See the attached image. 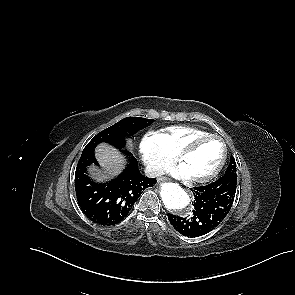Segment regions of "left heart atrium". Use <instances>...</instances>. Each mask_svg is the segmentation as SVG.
<instances>
[{"label": "left heart atrium", "instance_id": "obj_1", "mask_svg": "<svg viewBox=\"0 0 295 295\" xmlns=\"http://www.w3.org/2000/svg\"><path fill=\"white\" fill-rule=\"evenodd\" d=\"M170 173L174 177H177V178H188V177H190L187 170H186V168L182 164L170 169Z\"/></svg>", "mask_w": 295, "mask_h": 295}]
</instances>
